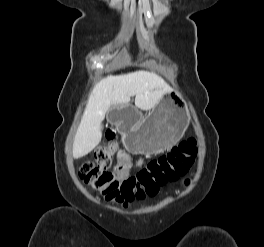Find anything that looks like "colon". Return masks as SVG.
I'll return each mask as SVG.
<instances>
[{"mask_svg": "<svg viewBox=\"0 0 264 247\" xmlns=\"http://www.w3.org/2000/svg\"><path fill=\"white\" fill-rule=\"evenodd\" d=\"M115 137L112 129L105 131V144L95 151L93 162L81 165L80 177L104 197L122 205L151 196L166 183L184 176L198 152L195 139L183 141L168 154L151 160L146 167L132 175L123 154L118 155L119 162L112 167L113 150L110 143ZM189 183L190 179L187 178L185 184Z\"/></svg>", "mask_w": 264, "mask_h": 247, "instance_id": "5ec220e1", "label": "colon"}]
</instances>
